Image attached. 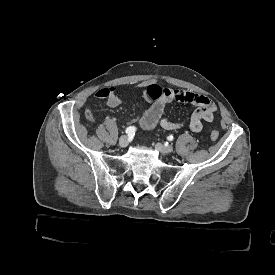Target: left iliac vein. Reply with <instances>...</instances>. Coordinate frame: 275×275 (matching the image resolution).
<instances>
[{
	"instance_id": "1",
	"label": "left iliac vein",
	"mask_w": 275,
	"mask_h": 275,
	"mask_svg": "<svg viewBox=\"0 0 275 275\" xmlns=\"http://www.w3.org/2000/svg\"><path fill=\"white\" fill-rule=\"evenodd\" d=\"M155 148L163 155L171 154L173 152V147L171 145L163 146L161 143H156Z\"/></svg>"
}]
</instances>
